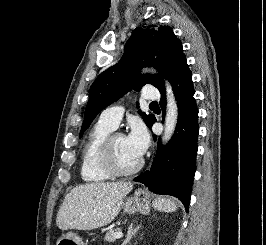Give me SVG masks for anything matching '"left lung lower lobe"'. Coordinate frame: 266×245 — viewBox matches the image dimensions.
I'll return each instance as SVG.
<instances>
[{
    "label": "left lung lower lobe",
    "mask_w": 266,
    "mask_h": 245,
    "mask_svg": "<svg viewBox=\"0 0 266 245\" xmlns=\"http://www.w3.org/2000/svg\"><path fill=\"white\" fill-rule=\"evenodd\" d=\"M178 105V121L171 141L164 147L158 142V151L150 170L134 179L144 183L156 194L179 198L188 211L193 178L196 171L197 139L199 134L198 109L193 97L192 74L186 58L174 68L170 78ZM161 92L160 106L166 105L165 89ZM156 122L154 117L149 125ZM154 140L156 136L153 135Z\"/></svg>",
    "instance_id": "left-lung-lower-lobe-1"
}]
</instances>
